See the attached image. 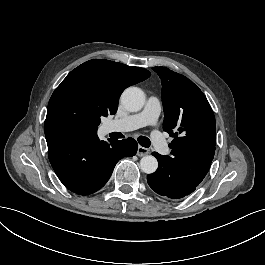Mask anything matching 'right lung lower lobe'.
Listing matches in <instances>:
<instances>
[{
  "label": "right lung lower lobe",
  "mask_w": 265,
  "mask_h": 265,
  "mask_svg": "<svg viewBox=\"0 0 265 265\" xmlns=\"http://www.w3.org/2000/svg\"><path fill=\"white\" fill-rule=\"evenodd\" d=\"M50 163L63 185L79 195H89L103 187L123 157L137 152L132 139L100 141L97 132L64 125L44 126Z\"/></svg>",
  "instance_id": "right-lung-lower-lobe-1"
}]
</instances>
